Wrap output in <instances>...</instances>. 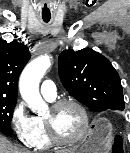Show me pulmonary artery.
Segmentation results:
<instances>
[{
    "label": "pulmonary artery",
    "instance_id": "pulmonary-artery-1",
    "mask_svg": "<svg viewBox=\"0 0 130 153\" xmlns=\"http://www.w3.org/2000/svg\"><path fill=\"white\" fill-rule=\"evenodd\" d=\"M40 92L45 98L54 100L57 95V88L55 83L50 79L44 80L41 84Z\"/></svg>",
    "mask_w": 130,
    "mask_h": 153
}]
</instances>
